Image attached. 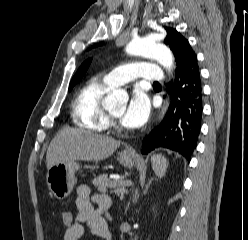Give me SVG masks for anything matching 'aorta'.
Here are the masks:
<instances>
[{
    "instance_id": "aorta-1",
    "label": "aorta",
    "mask_w": 248,
    "mask_h": 240,
    "mask_svg": "<svg viewBox=\"0 0 248 240\" xmlns=\"http://www.w3.org/2000/svg\"><path fill=\"white\" fill-rule=\"evenodd\" d=\"M126 52L134 56H142L146 58L156 59L164 68L171 70L173 66V55L170 49L165 45L155 42L152 38H139L132 40L126 47ZM127 98V93L124 90H114L105 98V102L115 105L118 102ZM165 107V112L167 110ZM164 114V112H163Z\"/></svg>"
}]
</instances>
